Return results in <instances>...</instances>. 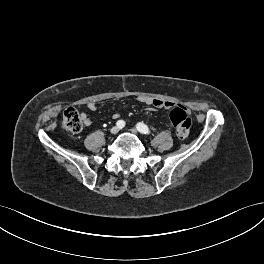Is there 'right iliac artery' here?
<instances>
[{
  "label": "right iliac artery",
  "mask_w": 264,
  "mask_h": 264,
  "mask_svg": "<svg viewBox=\"0 0 264 264\" xmlns=\"http://www.w3.org/2000/svg\"><path fill=\"white\" fill-rule=\"evenodd\" d=\"M117 127L122 129L125 126V122L123 120H118L116 123Z\"/></svg>",
  "instance_id": "right-iliac-artery-1"
}]
</instances>
